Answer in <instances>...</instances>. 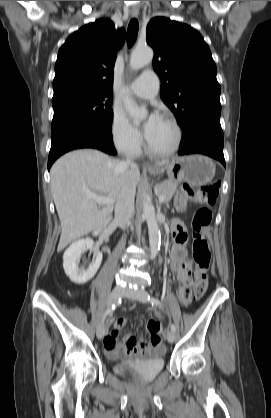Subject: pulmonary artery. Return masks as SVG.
<instances>
[{
	"mask_svg": "<svg viewBox=\"0 0 271 418\" xmlns=\"http://www.w3.org/2000/svg\"><path fill=\"white\" fill-rule=\"evenodd\" d=\"M159 88V80L156 73L152 70H145L130 85V90L141 98H153Z\"/></svg>",
	"mask_w": 271,
	"mask_h": 418,
	"instance_id": "pulmonary-artery-1",
	"label": "pulmonary artery"
}]
</instances>
